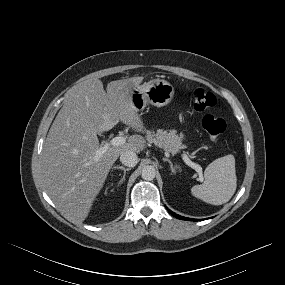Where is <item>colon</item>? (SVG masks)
Returning a JSON list of instances; mask_svg holds the SVG:
<instances>
[{
    "label": "colon",
    "mask_w": 285,
    "mask_h": 285,
    "mask_svg": "<svg viewBox=\"0 0 285 285\" xmlns=\"http://www.w3.org/2000/svg\"><path fill=\"white\" fill-rule=\"evenodd\" d=\"M193 108L198 112H204L213 108L216 104V97L213 93L197 88L192 93ZM202 126L212 141H216L226 130V123L223 119L206 114L202 118Z\"/></svg>",
    "instance_id": "obj_1"
}]
</instances>
